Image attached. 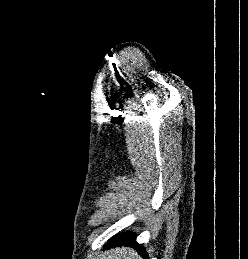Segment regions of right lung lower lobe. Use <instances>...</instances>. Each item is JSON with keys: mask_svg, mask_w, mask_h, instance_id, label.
Masks as SVG:
<instances>
[{"mask_svg": "<svg viewBox=\"0 0 248 259\" xmlns=\"http://www.w3.org/2000/svg\"><path fill=\"white\" fill-rule=\"evenodd\" d=\"M107 245H108V247L121 246V245L132 246V247H135L137 249V251L139 252V254H141L144 258H146V259L148 258L145 249L143 248L142 245L136 243L135 236L133 234L123 233L119 236L112 238L107 243Z\"/></svg>", "mask_w": 248, "mask_h": 259, "instance_id": "98d812e1", "label": "right lung lower lobe"}]
</instances>
